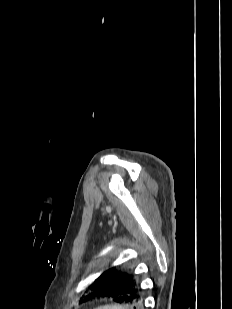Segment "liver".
<instances>
[{
	"label": "liver",
	"mask_w": 232,
	"mask_h": 309,
	"mask_svg": "<svg viewBox=\"0 0 232 309\" xmlns=\"http://www.w3.org/2000/svg\"><path fill=\"white\" fill-rule=\"evenodd\" d=\"M96 309H128V308L121 306V305H118V304H113V305L100 306Z\"/></svg>",
	"instance_id": "liver-1"
}]
</instances>
